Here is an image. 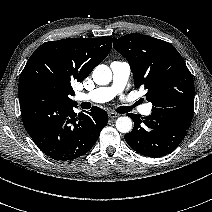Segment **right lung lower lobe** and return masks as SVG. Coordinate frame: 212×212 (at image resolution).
<instances>
[{
  "label": "right lung lower lobe",
  "instance_id": "1",
  "mask_svg": "<svg viewBox=\"0 0 212 212\" xmlns=\"http://www.w3.org/2000/svg\"><path fill=\"white\" fill-rule=\"evenodd\" d=\"M73 104L41 101L21 108L23 124L39 149L54 160L70 161L85 155L108 122L98 107L76 114Z\"/></svg>",
  "mask_w": 212,
  "mask_h": 212
}]
</instances>
